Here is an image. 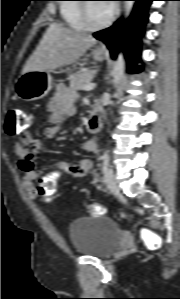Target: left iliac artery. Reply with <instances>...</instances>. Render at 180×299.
Instances as JSON below:
<instances>
[{
	"instance_id": "1",
	"label": "left iliac artery",
	"mask_w": 180,
	"mask_h": 299,
	"mask_svg": "<svg viewBox=\"0 0 180 299\" xmlns=\"http://www.w3.org/2000/svg\"><path fill=\"white\" fill-rule=\"evenodd\" d=\"M109 155L108 151H105L104 158H103V163H102V171L105 173L109 167Z\"/></svg>"
}]
</instances>
